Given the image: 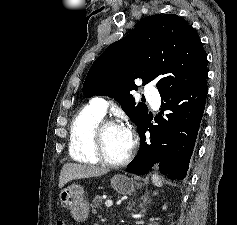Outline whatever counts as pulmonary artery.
I'll return each mask as SVG.
<instances>
[{"label": "pulmonary artery", "mask_w": 237, "mask_h": 225, "mask_svg": "<svg viewBox=\"0 0 237 225\" xmlns=\"http://www.w3.org/2000/svg\"><path fill=\"white\" fill-rule=\"evenodd\" d=\"M145 95L147 99L149 100V102H151L154 107L159 106V95L156 89H154L152 86L145 87ZM94 104L103 114H105L107 106H108V102L106 101L105 98L103 97L95 98Z\"/></svg>", "instance_id": "1"}]
</instances>
